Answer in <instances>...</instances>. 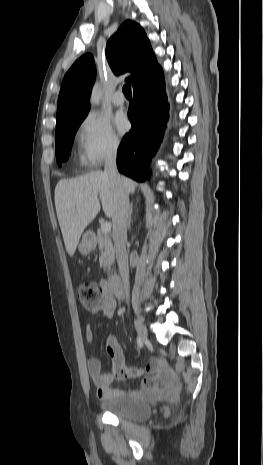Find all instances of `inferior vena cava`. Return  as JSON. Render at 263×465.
<instances>
[{
    "label": "inferior vena cava",
    "mask_w": 263,
    "mask_h": 465,
    "mask_svg": "<svg viewBox=\"0 0 263 465\" xmlns=\"http://www.w3.org/2000/svg\"><path fill=\"white\" fill-rule=\"evenodd\" d=\"M118 145L112 146L105 156L104 175L108 176L116 188V205L112 216L113 241L119 272L123 282L126 299H129V263L126 252L127 221L129 215V197L117 171L116 156Z\"/></svg>",
    "instance_id": "1"
}]
</instances>
